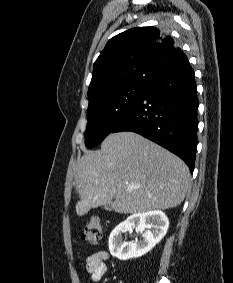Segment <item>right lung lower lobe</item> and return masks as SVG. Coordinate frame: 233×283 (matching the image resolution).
<instances>
[{
    "mask_svg": "<svg viewBox=\"0 0 233 283\" xmlns=\"http://www.w3.org/2000/svg\"><path fill=\"white\" fill-rule=\"evenodd\" d=\"M197 109L194 71L186 57L147 86L111 133L136 132L179 156L193 172Z\"/></svg>",
    "mask_w": 233,
    "mask_h": 283,
    "instance_id": "obj_1",
    "label": "right lung lower lobe"
}]
</instances>
